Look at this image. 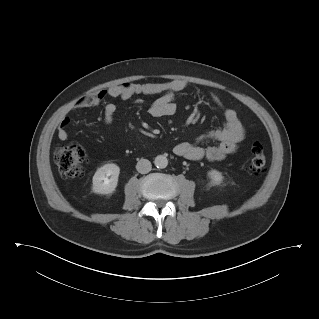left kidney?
I'll use <instances>...</instances> for the list:
<instances>
[{"label": "left kidney", "instance_id": "obj_1", "mask_svg": "<svg viewBox=\"0 0 319 319\" xmlns=\"http://www.w3.org/2000/svg\"><path fill=\"white\" fill-rule=\"evenodd\" d=\"M208 176L211 179L213 184L219 185L223 182L224 177L222 173L217 170H211L208 172Z\"/></svg>", "mask_w": 319, "mask_h": 319}]
</instances>
